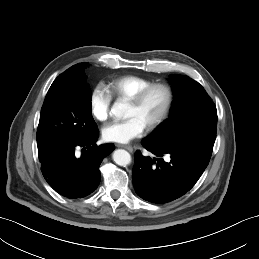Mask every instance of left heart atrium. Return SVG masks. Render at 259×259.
Instances as JSON below:
<instances>
[{
	"label": "left heart atrium",
	"mask_w": 259,
	"mask_h": 259,
	"mask_svg": "<svg viewBox=\"0 0 259 259\" xmlns=\"http://www.w3.org/2000/svg\"><path fill=\"white\" fill-rule=\"evenodd\" d=\"M146 126L135 117L123 121H115L103 129V137L107 141L128 143L144 134Z\"/></svg>",
	"instance_id": "obj_1"
}]
</instances>
